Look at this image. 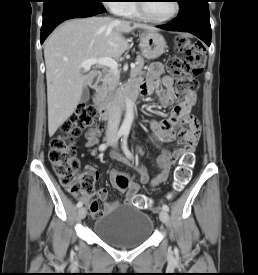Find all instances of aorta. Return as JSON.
<instances>
[{
	"mask_svg": "<svg viewBox=\"0 0 258 275\" xmlns=\"http://www.w3.org/2000/svg\"><path fill=\"white\" fill-rule=\"evenodd\" d=\"M133 119H134V103L127 98L125 118L120 128L123 133H129L133 123Z\"/></svg>",
	"mask_w": 258,
	"mask_h": 275,
	"instance_id": "aorta-1",
	"label": "aorta"
}]
</instances>
